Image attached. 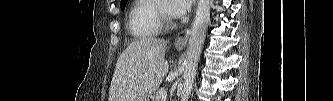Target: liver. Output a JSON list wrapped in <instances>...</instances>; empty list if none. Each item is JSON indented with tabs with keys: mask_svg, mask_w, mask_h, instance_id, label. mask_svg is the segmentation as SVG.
I'll list each match as a JSON object with an SVG mask.
<instances>
[{
	"mask_svg": "<svg viewBox=\"0 0 333 101\" xmlns=\"http://www.w3.org/2000/svg\"><path fill=\"white\" fill-rule=\"evenodd\" d=\"M166 41L154 37L132 42L119 56L108 101H146L158 89L169 64Z\"/></svg>",
	"mask_w": 333,
	"mask_h": 101,
	"instance_id": "1",
	"label": "liver"
}]
</instances>
